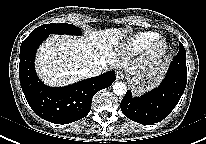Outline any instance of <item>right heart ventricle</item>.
Wrapping results in <instances>:
<instances>
[{"mask_svg": "<svg viewBox=\"0 0 206 144\" xmlns=\"http://www.w3.org/2000/svg\"><path fill=\"white\" fill-rule=\"evenodd\" d=\"M158 36L156 32L145 31L131 35L123 44V49L131 52L144 50Z\"/></svg>", "mask_w": 206, "mask_h": 144, "instance_id": "right-heart-ventricle-1", "label": "right heart ventricle"}]
</instances>
